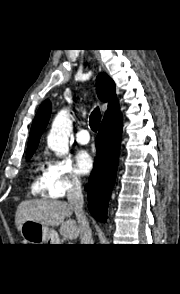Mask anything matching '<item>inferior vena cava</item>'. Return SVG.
<instances>
[{"label":"inferior vena cava","mask_w":180,"mask_h":294,"mask_svg":"<svg viewBox=\"0 0 180 294\" xmlns=\"http://www.w3.org/2000/svg\"><path fill=\"white\" fill-rule=\"evenodd\" d=\"M67 200L70 206L73 208L79 223L81 244H93L91 228L83 212L84 200L81 190V182L77 178L72 179L69 185L67 191Z\"/></svg>","instance_id":"inferior-vena-cava-1"}]
</instances>
